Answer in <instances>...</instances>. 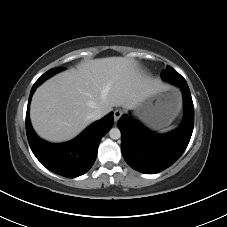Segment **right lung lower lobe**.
Returning <instances> with one entry per match:
<instances>
[{"label":"right lung lower lobe","mask_w":227,"mask_h":227,"mask_svg":"<svg viewBox=\"0 0 227 227\" xmlns=\"http://www.w3.org/2000/svg\"><path fill=\"white\" fill-rule=\"evenodd\" d=\"M39 85L40 83H35L31 89L26 114V134L31 150L47 169L56 174L69 178L83 175L96 160L100 140L113 125V114L93 123L70 142L48 143L36 135L29 118L31 97Z\"/></svg>","instance_id":"98d812e1"}]
</instances>
